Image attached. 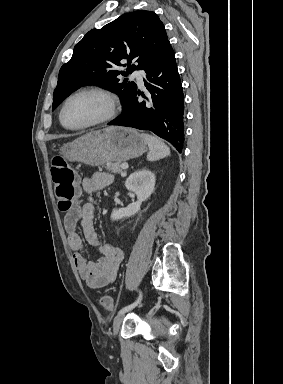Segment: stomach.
Masks as SVG:
<instances>
[{"instance_id": "1", "label": "stomach", "mask_w": 283, "mask_h": 384, "mask_svg": "<svg viewBox=\"0 0 283 384\" xmlns=\"http://www.w3.org/2000/svg\"><path fill=\"white\" fill-rule=\"evenodd\" d=\"M147 150V142L132 128L110 126L90 132L70 144H64L60 154L69 162L102 166L106 162H126L139 158Z\"/></svg>"}]
</instances>
